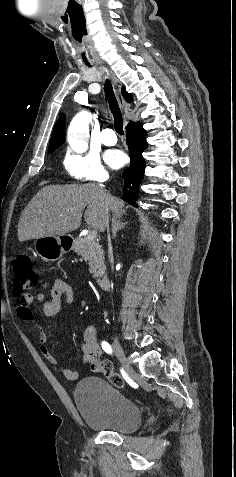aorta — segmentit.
<instances>
[{
    "label": "aorta",
    "mask_w": 236,
    "mask_h": 477,
    "mask_svg": "<svg viewBox=\"0 0 236 477\" xmlns=\"http://www.w3.org/2000/svg\"><path fill=\"white\" fill-rule=\"evenodd\" d=\"M90 118L86 113L77 114L68 128L67 139L76 151H84L88 146Z\"/></svg>",
    "instance_id": "aorta-1"
}]
</instances>
